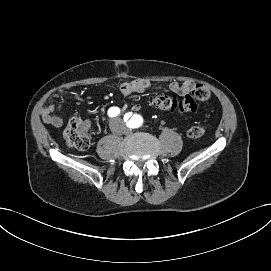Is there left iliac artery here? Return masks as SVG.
Listing matches in <instances>:
<instances>
[{
    "instance_id": "obj_1",
    "label": "left iliac artery",
    "mask_w": 271,
    "mask_h": 271,
    "mask_svg": "<svg viewBox=\"0 0 271 271\" xmlns=\"http://www.w3.org/2000/svg\"><path fill=\"white\" fill-rule=\"evenodd\" d=\"M130 116L131 114L126 113L124 118L130 117ZM130 121H131V125L128 126L129 128H137L141 125V120L137 119V115H133Z\"/></svg>"
}]
</instances>
